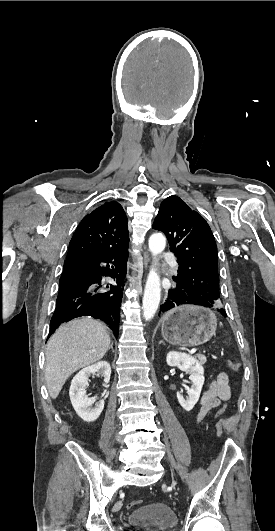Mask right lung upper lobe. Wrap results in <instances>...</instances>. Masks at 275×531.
<instances>
[{
  "mask_svg": "<svg viewBox=\"0 0 275 531\" xmlns=\"http://www.w3.org/2000/svg\"><path fill=\"white\" fill-rule=\"evenodd\" d=\"M127 223L122 206L106 202L82 219L70 241L67 258L127 246Z\"/></svg>",
  "mask_w": 275,
  "mask_h": 531,
  "instance_id": "right-lung-upper-lobe-1",
  "label": "right lung upper lobe"
}]
</instances>
